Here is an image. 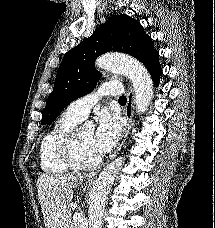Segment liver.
<instances>
[{"label":"liver","mask_w":215,"mask_h":228,"mask_svg":"<svg viewBox=\"0 0 215 228\" xmlns=\"http://www.w3.org/2000/svg\"><path fill=\"white\" fill-rule=\"evenodd\" d=\"M82 174H41L37 180L38 198L45 228H69L73 188L82 184Z\"/></svg>","instance_id":"obj_1"}]
</instances>
